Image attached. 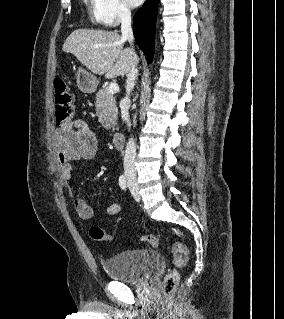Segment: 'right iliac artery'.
I'll list each match as a JSON object with an SVG mask.
<instances>
[{
  "mask_svg": "<svg viewBox=\"0 0 284 319\" xmlns=\"http://www.w3.org/2000/svg\"><path fill=\"white\" fill-rule=\"evenodd\" d=\"M119 186L121 187L122 190H126L127 182L124 175H121L119 178Z\"/></svg>",
  "mask_w": 284,
  "mask_h": 319,
  "instance_id": "obj_1",
  "label": "right iliac artery"
}]
</instances>
